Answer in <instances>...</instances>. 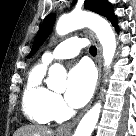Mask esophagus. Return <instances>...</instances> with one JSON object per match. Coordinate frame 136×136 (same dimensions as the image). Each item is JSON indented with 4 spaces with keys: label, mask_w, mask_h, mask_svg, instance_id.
<instances>
[{
    "label": "esophagus",
    "mask_w": 136,
    "mask_h": 136,
    "mask_svg": "<svg viewBox=\"0 0 136 136\" xmlns=\"http://www.w3.org/2000/svg\"><path fill=\"white\" fill-rule=\"evenodd\" d=\"M89 36L93 40L94 44L97 47V57H96V66H97V69H98V82H97V86H96V91H97L98 86H99V82H100V78H101V67H102L101 46H100L99 41L97 40V38H96V36L94 34L89 33ZM82 115L83 114L81 113L75 119L71 120L70 122H68L66 124L61 125L58 128V132L59 133H67V134L71 133V131L75 128V126L79 122Z\"/></svg>",
    "instance_id": "1"
}]
</instances>
